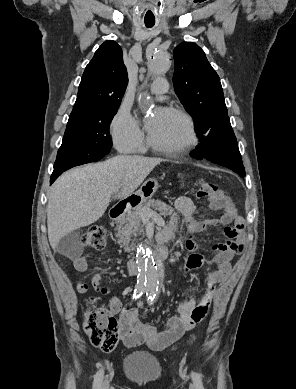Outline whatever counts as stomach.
Returning a JSON list of instances; mask_svg holds the SVG:
<instances>
[{
	"mask_svg": "<svg viewBox=\"0 0 296 389\" xmlns=\"http://www.w3.org/2000/svg\"><path fill=\"white\" fill-rule=\"evenodd\" d=\"M157 188L158 182L155 179H149L142 185L135 196H138L142 201H146L153 196Z\"/></svg>",
	"mask_w": 296,
	"mask_h": 389,
	"instance_id": "stomach-1",
	"label": "stomach"
}]
</instances>
